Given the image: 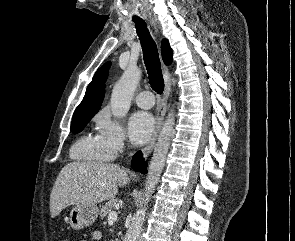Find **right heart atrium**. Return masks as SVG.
Instances as JSON below:
<instances>
[{"instance_id": "1", "label": "right heart atrium", "mask_w": 295, "mask_h": 241, "mask_svg": "<svg viewBox=\"0 0 295 241\" xmlns=\"http://www.w3.org/2000/svg\"><path fill=\"white\" fill-rule=\"evenodd\" d=\"M95 122L98 133L112 156L122 152L127 145V136L123 125L113 119L107 109H102L97 113Z\"/></svg>"}]
</instances>
